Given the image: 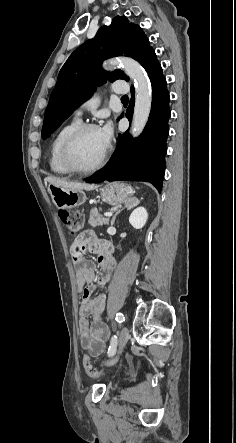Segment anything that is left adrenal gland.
Segmentation results:
<instances>
[{"label":"left adrenal gland","mask_w":236,"mask_h":443,"mask_svg":"<svg viewBox=\"0 0 236 443\" xmlns=\"http://www.w3.org/2000/svg\"><path fill=\"white\" fill-rule=\"evenodd\" d=\"M125 208H128V205H127V204L125 205ZM123 209H124V208H123ZM123 209H120V210H118V211L115 213V215L113 216V218H112V220H111V226L114 225L117 215L120 214V213L122 212Z\"/></svg>","instance_id":"a2214340"}]
</instances>
